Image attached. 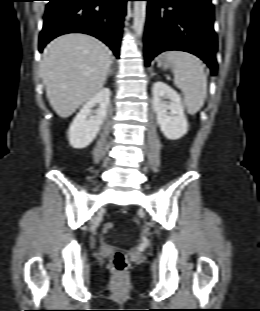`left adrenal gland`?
<instances>
[{"label":"left adrenal gland","mask_w":260,"mask_h":311,"mask_svg":"<svg viewBox=\"0 0 260 311\" xmlns=\"http://www.w3.org/2000/svg\"><path fill=\"white\" fill-rule=\"evenodd\" d=\"M154 75H156L153 71L151 72V76H154Z\"/></svg>","instance_id":"1"}]
</instances>
